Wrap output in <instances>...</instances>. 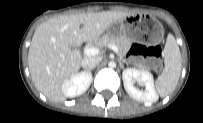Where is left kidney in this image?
I'll list each match as a JSON object with an SVG mask.
<instances>
[{"label": "left kidney", "mask_w": 203, "mask_h": 123, "mask_svg": "<svg viewBox=\"0 0 203 123\" xmlns=\"http://www.w3.org/2000/svg\"><path fill=\"white\" fill-rule=\"evenodd\" d=\"M122 78L124 88L132 98L147 103H153L158 100V95L154 88L153 75L150 72L126 68L123 70ZM135 82L145 86V90L135 88Z\"/></svg>", "instance_id": "5707ae66"}]
</instances>
